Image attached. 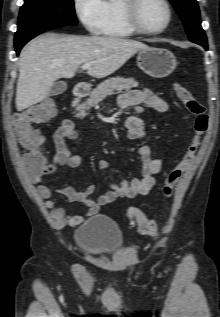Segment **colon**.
Here are the masks:
<instances>
[{"instance_id":"colon-1","label":"colon","mask_w":220,"mask_h":317,"mask_svg":"<svg viewBox=\"0 0 220 317\" xmlns=\"http://www.w3.org/2000/svg\"><path fill=\"white\" fill-rule=\"evenodd\" d=\"M175 91L184 107L194 116L195 135L184 157L167 173L163 187V192L167 197L172 195L174 187L194 161L201 145L202 137L209 126V116L205 106L193 96L190 90L181 83H176ZM55 113V103L51 100H45L15 114L13 117L16 135L27 150L24 155L25 163L35 170H41L46 163V159L41 150L43 138L33 125L50 120ZM127 215L131 223L136 225L142 234L153 236L159 233L156 223L150 220L141 209L131 207L127 210Z\"/></svg>"}]
</instances>
